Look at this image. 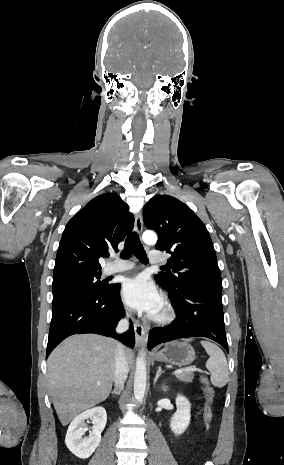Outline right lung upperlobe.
<instances>
[{
  "label": "right lung upper lobe",
  "instance_id": "obj_1",
  "mask_svg": "<svg viewBox=\"0 0 284 465\" xmlns=\"http://www.w3.org/2000/svg\"><path fill=\"white\" fill-rule=\"evenodd\" d=\"M134 216L114 193L93 198L66 225L55 260L53 280L101 273L100 257L118 251L132 230Z\"/></svg>",
  "mask_w": 284,
  "mask_h": 465
}]
</instances>
